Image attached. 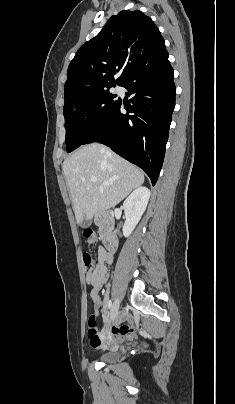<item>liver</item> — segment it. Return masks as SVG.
Masks as SVG:
<instances>
[{
    "mask_svg": "<svg viewBox=\"0 0 235 404\" xmlns=\"http://www.w3.org/2000/svg\"><path fill=\"white\" fill-rule=\"evenodd\" d=\"M62 169L78 224L116 206L144 182L138 167L99 143L80 147L65 159Z\"/></svg>",
    "mask_w": 235,
    "mask_h": 404,
    "instance_id": "1",
    "label": "liver"
}]
</instances>
